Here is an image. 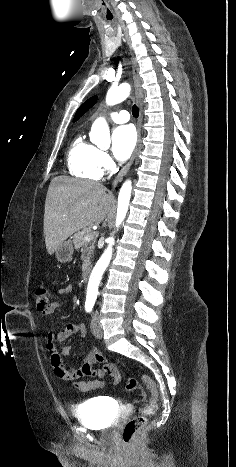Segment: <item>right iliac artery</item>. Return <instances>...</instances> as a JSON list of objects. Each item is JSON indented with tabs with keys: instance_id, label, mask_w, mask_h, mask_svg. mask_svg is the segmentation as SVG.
I'll use <instances>...</instances> for the list:
<instances>
[{
	"instance_id": "obj_1",
	"label": "right iliac artery",
	"mask_w": 236,
	"mask_h": 467,
	"mask_svg": "<svg viewBox=\"0 0 236 467\" xmlns=\"http://www.w3.org/2000/svg\"><path fill=\"white\" fill-rule=\"evenodd\" d=\"M93 306H94L93 303L86 302V303H85V310H86V312L90 313V312L92 311Z\"/></svg>"
}]
</instances>
